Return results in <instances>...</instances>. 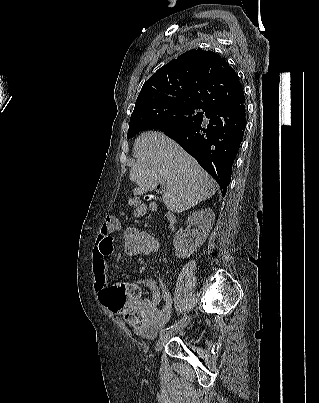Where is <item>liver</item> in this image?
I'll use <instances>...</instances> for the list:
<instances>
[{"label":"liver","instance_id":"1","mask_svg":"<svg viewBox=\"0 0 319 403\" xmlns=\"http://www.w3.org/2000/svg\"><path fill=\"white\" fill-rule=\"evenodd\" d=\"M136 162L129 174L136 183L135 196L165 183L162 199L167 209L179 213L211 198L215 182L197 161L174 140L158 131L142 133L134 142Z\"/></svg>","mask_w":319,"mask_h":403}]
</instances>
